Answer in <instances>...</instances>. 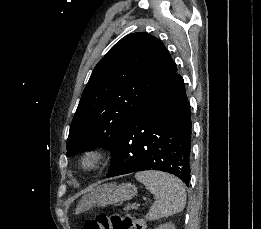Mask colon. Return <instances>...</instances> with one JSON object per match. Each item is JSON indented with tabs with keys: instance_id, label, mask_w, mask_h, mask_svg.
Returning a JSON list of instances; mask_svg holds the SVG:
<instances>
[{
	"instance_id": "colon-1",
	"label": "colon",
	"mask_w": 261,
	"mask_h": 229,
	"mask_svg": "<svg viewBox=\"0 0 261 229\" xmlns=\"http://www.w3.org/2000/svg\"><path fill=\"white\" fill-rule=\"evenodd\" d=\"M83 229H140L137 220L127 213L100 212L88 220Z\"/></svg>"
}]
</instances>
